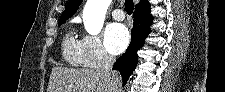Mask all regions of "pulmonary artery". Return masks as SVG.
Masks as SVG:
<instances>
[{
  "instance_id": "e3ab8cb5",
  "label": "pulmonary artery",
  "mask_w": 225,
  "mask_h": 92,
  "mask_svg": "<svg viewBox=\"0 0 225 92\" xmlns=\"http://www.w3.org/2000/svg\"><path fill=\"white\" fill-rule=\"evenodd\" d=\"M112 17L115 20L121 21V20H123L125 18V15H124V13H123V11L121 9H115L112 12Z\"/></svg>"
}]
</instances>
